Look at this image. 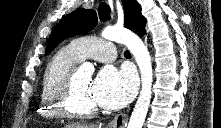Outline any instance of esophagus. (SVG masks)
Masks as SVG:
<instances>
[{
	"label": "esophagus",
	"mask_w": 221,
	"mask_h": 128,
	"mask_svg": "<svg viewBox=\"0 0 221 128\" xmlns=\"http://www.w3.org/2000/svg\"><path fill=\"white\" fill-rule=\"evenodd\" d=\"M127 122H128V117L125 114L120 113L117 116H115V118L107 125V127L124 128L126 127Z\"/></svg>",
	"instance_id": "obj_1"
}]
</instances>
